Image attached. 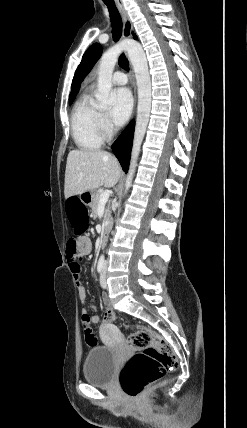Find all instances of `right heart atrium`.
Wrapping results in <instances>:
<instances>
[{
  "instance_id": "obj_1",
  "label": "right heart atrium",
  "mask_w": 247,
  "mask_h": 428,
  "mask_svg": "<svg viewBox=\"0 0 247 428\" xmlns=\"http://www.w3.org/2000/svg\"><path fill=\"white\" fill-rule=\"evenodd\" d=\"M99 122H100V127H101L102 132L105 135H109L112 131V126H111L108 118L106 117V115L100 114Z\"/></svg>"
}]
</instances>
